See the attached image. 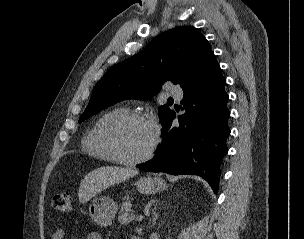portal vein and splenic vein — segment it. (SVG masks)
Returning a JSON list of instances; mask_svg holds the SVG:
<instances>
[{"mask_svg": "<svg viewBox=\"0 0 304 239\" xmlns=\"http://www.w3.org/2000/svg\"><path fill=\"white\" fill-rule=\"evenodd\" d=\"M142 219H143V215H138V216L136 217V220H137L138 222L142 221Z\"/></svg>", "mask_w": 304, "mask_h": 239, "instance_id": "obj_1", "label": "portal vein and splenic vein"}]
</instances>
